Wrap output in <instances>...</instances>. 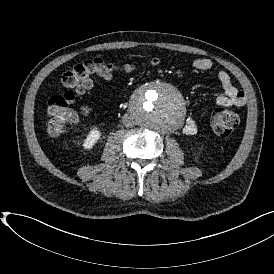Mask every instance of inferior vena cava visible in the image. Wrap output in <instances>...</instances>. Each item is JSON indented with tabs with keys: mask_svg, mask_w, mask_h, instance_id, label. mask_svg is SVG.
<instances>
[{
	"mask_svg": "<svg viewBox=\"0 0 274 274\" xmlns=\"http://www.w3.org/2000/svg\"><path fill=\"white\" fill-rule=\"evenodd\" d=\"M122 121H123V123H124L126 126H130V125H131V122H130L126 117H124Z\"/></svg>",
	"mask_w": 274,
	"mask_h": 274,
	"instance_id": "inferior-vena-cava-1",
	"label": "inferior vena cava"
}]
</instances>
